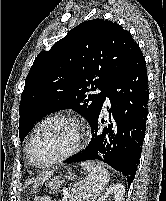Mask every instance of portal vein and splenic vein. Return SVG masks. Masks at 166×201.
<instances>
[{"label": "portal vein and splenic vein", "instance_id": "1", "mask_svg": "<svg viewBox=\"0 0 166 201\" xmlns=\"http://www.w3.org/2000/svg\"><path fill=\"white\" fill-rule=\"evenodd\" d=\"M64 196H65V198L69 197V193L68 192H64Z\"/></svg>", "mask_w": 166, "mask_h": 201}]
</instances>
